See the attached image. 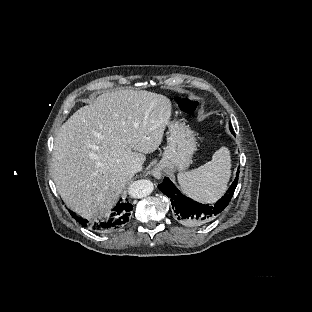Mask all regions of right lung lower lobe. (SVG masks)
<instances>
[{"label": "right lung lower lobe", "mask_w": 312, "mask_h": 312, "mask_svg": "<svg viewBox=\"0 0 312 312\" xmlns=\"http://www.w3.org/2000/svg\"><path fill=\"white\" fill-rule=\"evenodd\" d=\"M132 209L133 206L128 202L127 199H120L116 206L112 209V213L107 221L103 220L95 223L79 217L73 212H70V214L81 225H83L84 227H90L96 233H110L128 222Z\"/></svg>", "instance_id": "right-lung-lower-lobe-1"}]
</instances>
